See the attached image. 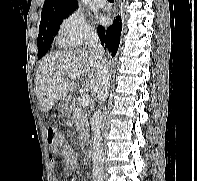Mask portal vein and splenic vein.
<instances>
[{
    "label": "portal vein and splenic vein",
    "mask_w": 197,
    "mask_h": 181,
    "mask_svg": "<svg viewBox=\"0 0 197 181\" xmlns=\"http://www.w3.org/2000/svg\"><path fill=\"white\" fill-rule=\"evenodd\" d=\"M77 78H79V76H76V75H72L70 76V79L71 80H76ZM57 81L58 82H61L62 79L61 78H57ZM89 102H90V97L88 94H83L82 95V98H81V105L83 108H86L88 105H89Z\"/></svg>",
    "instance_id": "obj_1"
}]
</instances>
